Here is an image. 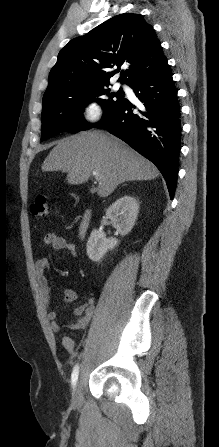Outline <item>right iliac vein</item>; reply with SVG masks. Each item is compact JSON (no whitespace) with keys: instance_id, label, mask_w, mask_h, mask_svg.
Wrapping results in <instances>:
<instances>
[{"instance_id":"right-iliac-vein-1","label":"right iliac vein","mask_w":219,"mask_h":447,"mask_svg":"<svg viewBox=\"0 0 219 447\" xmlns=\"http://www.w3.org/2000/svg\"><path fill=\"white\" fill-rule=\"evenodd\" d=\"M82 404V379L80 378L73 390V405L79 407Z\"/></svg>"}]
</instances>
